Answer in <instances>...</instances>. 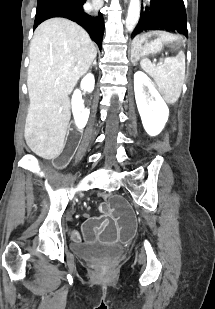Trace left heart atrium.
I'll return each mask as SVG.
<instances>
[{
  "label": "left heart atrium",
  "instance_id": "obj_1",
  "mask_svg": "<svg viewBox=\"0 0 215 309\" xmlns=\"http://www.w3.org/2000/svg\"><path fill=\"white\" fill-rule=\"evenodd\" d=\"M97 10H100V7H97Z\"/></svg>",
  "mask_w": 215,
  "mask_h": 309
}]
</instances>
